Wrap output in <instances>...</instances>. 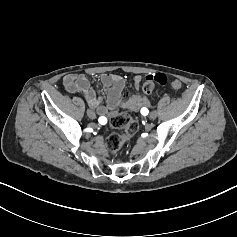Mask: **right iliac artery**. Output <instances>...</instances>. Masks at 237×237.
I'll use <instances>...</instances> for the list:
<instances>
[{
  "mask_svg": "<svg viewBox=\"0 0 237 237\" xmlns=\"http://www.w3.org/2000/svg\"><path fill=\"white\" fill-rule=\"evenodd\" d=\"M98 121L100 124H105L107 122V119L104 116H102L98 119Z\"/></svg>",
  "mask_w": 237,
  "mask_h": 237,
  "instance_id": "obj_1",
  "label": "right iliac artery"
}]
</instances>
